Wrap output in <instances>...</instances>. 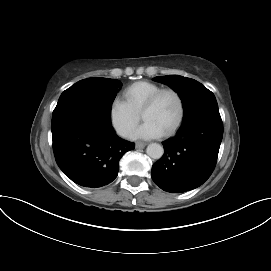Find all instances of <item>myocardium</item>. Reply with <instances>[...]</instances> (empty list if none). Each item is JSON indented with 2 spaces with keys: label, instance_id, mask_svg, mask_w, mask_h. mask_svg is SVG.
<instances>
[{
  "label": "myocardium",
  "instance_id": "myocardium-1",
  "mask_svg": "<svg viewBox=\"0 0 271 271\" xmlns=\"http://www.w3.org/2000/svg\"><path fill=\"white\" fill-rule=\"evenodd\" d=\"M166 93L173 94L175 96L176 100H177V103H178V116H177V119H176L175 123L172 125V127L168 131H166L164 133L165 136H171L178 130V128L180 127V125L183 122L184 115H185V106H184L183 98H182L181 94L176 89L162 88V89L156 91L144 103L140 113H141V116H142L143 113H145L146 111L153 108L155 106V104L157 103L158 99L163 94H166Z\"/></svg>",
  "mask_w": 271,
  "mask_h": 271
}]
</instances>
